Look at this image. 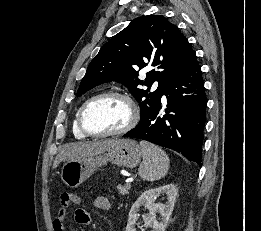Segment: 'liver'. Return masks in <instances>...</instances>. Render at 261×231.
<instances>
[{
	"instance_id": "liver-1",
	"label": "liver",
	"mask_w": 261,
	"mask_h": 231,
	"mask_svg": "<svg viewBox=\"0 0 261 231\" xmlns=\"http://www.w3.org/2000/svg\"><path fill=\"white\" fill-rule=\"evenodd\" d=\"M121 140L109 139L95 142H79L68 144L59 152L53 163L55 169L62 161L85 160L95 155L102 154Z\"/></svg>"
}]
</instances>
